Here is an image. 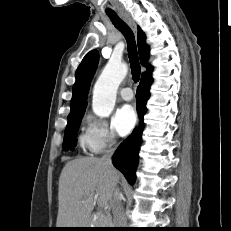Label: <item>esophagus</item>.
Wrapping results in <instances>:
<instances>
[{"label": "esophagus", "mask_w": 231, "mask_h": 231, "mask_svg": "<svg viewBox=\"0 0 231 231\" xmlns=\"http://www.w3.org/2000/svg\"><path fill=\"white\" fill-rule=\"evenodd\" d=\"M121 18L132 28L134 32L137 31V27L135 22L131 19V17L126 13H120Z\"/></svg>", "instance_id": "esophagus-1"}]
</instances>
